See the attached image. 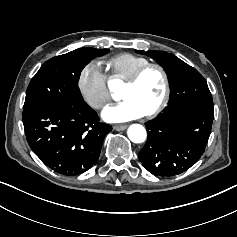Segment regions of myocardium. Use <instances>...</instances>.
Segmentation results:
<instances>
[{"mask_svg":"<svg viewBox=\"0 0 237 237\" xmlns=\"http://www.w3.org/2000/svg\"><path fill=\"white\" fill-rule=\"evenodd\" d=\"M151 68L159 70L160 73L162 74L164 80V95L160 103L153 110L144 114L146 118H151L161 113L169 102L171 94V85L167 70L161 64L148 63L139 68L132 76H130L128 79L125 80V85H135L139 82L142 76Z\"/></svg>","mask_w":237,"mask_h":237,"instance_id":"myocardium-1","label":"myocardium"}]
</instances>
